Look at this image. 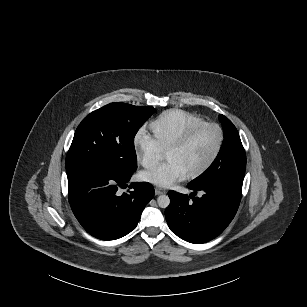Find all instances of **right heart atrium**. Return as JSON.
Here are the masks:
<instances>
[{
    "label": "right heart atrium",
    "mask_w": 307,
    "mask_h": 307,
    "mask_svg": "<svg viewBox=\"0 0 307 307\" xmlns=\"http://www.w3.org/2000/svg\"><path fill=\"white\" fill-rule=\"evenodd\" d=\"M132 148L136 160L146 168H153L161 160V150L149 136L134 138Z\"/></svg>",
    "instance_id": "obj_1"
}]
</instances>
